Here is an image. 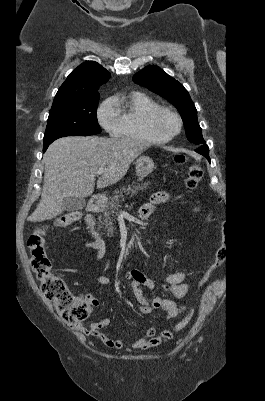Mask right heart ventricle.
Instances as JSON below:
<instances>
[{
  "mask_svg": "<svg viewBox=\"0 0 265 401\" xmlns=\"http://www.w3.org/2000/svg\"><path fill=\"white\" fill-rule=\"evenodd\" d=\"M112 103L115 114L118 116V123L113 131L115 138L154 142L145 126L148 112L158 107L154 99L141 91L133 90L117 93Z\"/></svg>",
  "mask_w": 265,
  "mask_h": 401,
  "instance_id": "e07e8e85",
  "label": "right heart ventricle"
}]
</instances>
